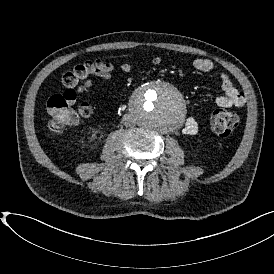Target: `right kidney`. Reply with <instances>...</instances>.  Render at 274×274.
Wrapping results in <instances>:
<instances>
[{"instance_id":"obj_1","label":"right kidney","mask_w":274,"mask_h":274,"mask_svg":"<svg viewBox=\"0 0 274 274\" xmlns=\"http://www.w3.org/2000/svg\"><path fill=\"white\" fill-rule=\"evenodd\" d=\"M96 138V132H93L92 136L90 137L89 141H92L93 139Z\"/></svg>"}]
</instances>
